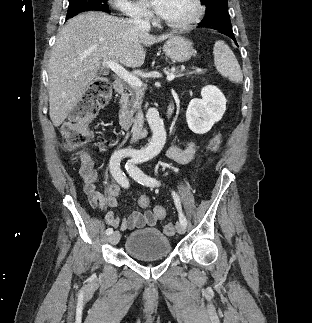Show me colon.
<instances>
[{
    "mask_svg": "<svg viewBox=\"0 0 312 323\" xmlns=\"http://www.w3.org/2000/svg\"><path fill=\"white\" fill-rule=\"evenodd\" d=\"M111 100V85L106 77L95 78L83 93L79 106L73 111L70 122L63 126L64 146L66 150L78 155L83 163V168H90V161H86L84 147L91 140L92 132L89 124L97 114L100 107L107 105ZM222 141V135H215L210 142L209 151L214 153ZM88 172V171H87ZM141 208H147L150 205V199L147 196H141L138 201ZM156 213H164V206H156ZM165 214H161L163 218ZM163 231L167 235L175 233V227L172 223H165Z\"/></svg>",
    "mask_w": 312,
    "mask_h": 323,
    "instance_id": "1",
    "label": "colon"
}]
</instances>
